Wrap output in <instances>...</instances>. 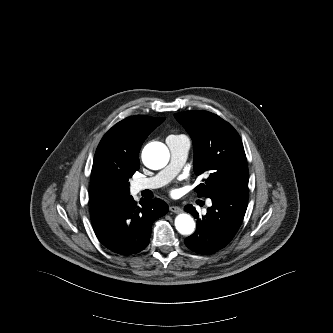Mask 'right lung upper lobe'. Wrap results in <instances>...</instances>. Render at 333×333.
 Returning <instances> with one entry per match:
<instances>
[{
    "mask_svg": "<svg viewBox=\"0 0 333 333\" xmlns=\"http://www.w3.org/2000/svg\"><path fill=\"white\" fill-rule=\"evenodd\" d=\"M165 118L137 115L114 125L102 138L91 172V204L122 200L129 195V171L139 169V151Z\"/></svg>",
    "mask_w": 333,
    "mask_h": 333,
    "instance_id": "right-lung-upper-lobe-1",
    "label": "right lung upper lobe"
}]
</instances>
